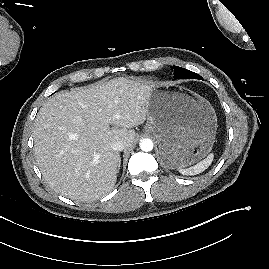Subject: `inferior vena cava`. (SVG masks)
Segmentation results:
<instances>
[{"instance_id":"obj_1","label":"inferior vena cava","mask_w":269,"mask_h":269,"mask_svg":"<svg viewBox=\"0 0 269 269\" xmlns=\"http://www.w3.org/2000/svg\"><path fill=\"white\" fill-rule=\"evenodd\" d=\"M111 147L113 150L120 152L124 149L125 144L122 140H117V141L112 143Z\"/></svg>"}]
</instances>
